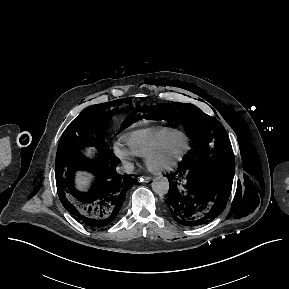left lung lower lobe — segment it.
Segmentation results:
<instances>
[{
    "label": "left lung lower lobe",
    "instance_id": "0a47b994",
    "mask_svg": "<svg viewBox=\"0 0 289 289\" xmlns=\"http://www.w3.org/2000/svg\"><path fill=\"white\" fill-rule=\"evenodd\" d=\"M234 177L233 165L219 168L209 154H190L169 175L168 210L189 227L214 220L225 208Z\"/></svg>",
    "mask_w": 289,
    "mask_h": 289
}]
</instances>
